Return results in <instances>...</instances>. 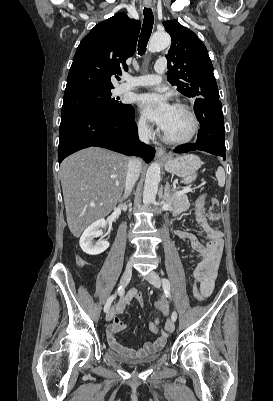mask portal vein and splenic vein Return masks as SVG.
I'll use <instances>...</instances> for the list:
<instances>
[{
  "mask_svg": "<svg viewBox=\"0 0 273 401\" xmlns=\"http://www.w3.org/2000/svg\"><path fill=\"white\" fill-rule=\"evenodd\" d=\"M189 190H191L190 186H188V188H183L178 190L179 196H182L183 192H189Z\"/></svg>",
  "mask_w": 273,
  "mask_h": 401,
  "instance_id": "1",
  "label": "portal vein and splenic vein"
}]
</instances>
